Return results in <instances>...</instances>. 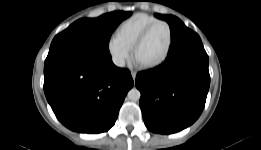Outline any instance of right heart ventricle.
Returning a JSON list of instances; mask_svg holds the SVG:
<instances>
[{
	"label": "right heart ventricle",
	"instance_id": "right-heart-ventricle-1",
	"mask_svg": "<svg viewBox=\"0 0 261 150\" xmlns=\"http://www.w3.org/2000/svg\"><path fill=\"white\" fill-rule=\"evenodd\" d=\"M156 17L147 13H135L123 20L115 30V36L128 47L132 48L140 33L152 22L157 21Z\"/></svg>",
	"mask_w": 261,
	"mask_h": 150
}]
</instances>
